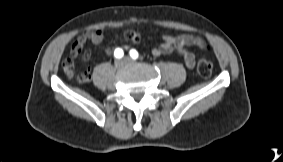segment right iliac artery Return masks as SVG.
Instances as JSON below:
<instances>
[{
	"mask_svg": "<svg viewBox=\"0 0 283 162\" xmlns=\"http://www.w3.org/2000/svg\"><path fill=\"white\" fill-rule=\"evenodd\" d=\"M123 55H124V52L121 48L115 49V51H114V57L115 58L120 59V58L123 57Z\"/></svg>",
	"mask_w": 283,
	"mask_h": 162,
	"instance_id": "1",
	"label": "right iliac artery"
}]
</instances>
